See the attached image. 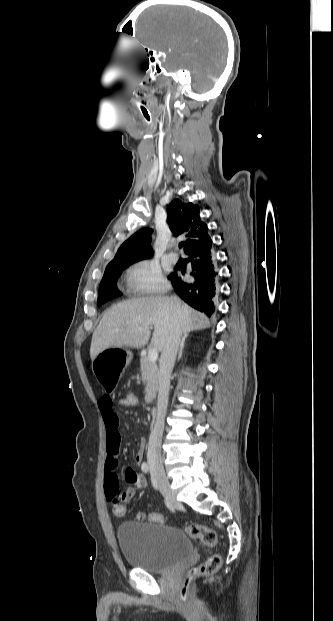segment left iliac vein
Returning <instances> with one entry per match:
<instances>
[{"mask_svg": "<svg viewBox=\"0 0 333 621\" xmlns=\"http://www.w3.org/2000/svg\"><path fill=\"white\" fill-rule=\"evenodd\" d=\"M151 475H152V479L156 481V479H155V477H154L153 473H151Z\"/></svg>", "mask_w": 333, "mask_h": 621, "instance_id": "obj_1", "label": "left iliac vein"}]
</instances>
